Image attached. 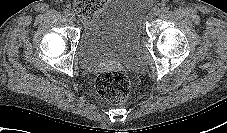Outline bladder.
Returning <instances> with one entry per match:
<instances>
[{"mask_svg": "<svg viewBox=\"0 0 227 133\" xmlns=\"http://www.w3.org/2000/svg\"><path fill=\"white\" fill-rule=\"evenodd\" d=\"M150 0H107L82 27L77 58L83 68L111 61L131 69L143 63V24Z\"/></svg>", "mask_w": 227, "mask_h": 133, "instance_id": "bladder-1", "label": "bladder"}]
</instances>
